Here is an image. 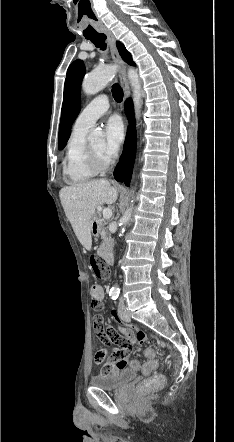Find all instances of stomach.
Segmentation results:
<instances>
[{"label":"stomach","mask_w":234,"mask_h":442,"mask_svg":"<svg viewBox=\"0 0 234 442\" xmlns=\"http://www.w3.org/2000/svg\"><path fill=\"white\" fill-rule=\"evenodd\" d=\"M94 224H95V222H94V219H93L92 222H91V230H93Z\"/></svg>","instance_id":"stomach-1"}]
</instances>
